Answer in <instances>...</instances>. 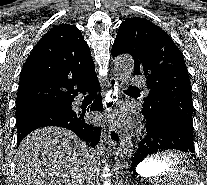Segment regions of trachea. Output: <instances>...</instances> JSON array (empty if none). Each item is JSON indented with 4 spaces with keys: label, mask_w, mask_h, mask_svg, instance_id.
<instances>
[{
    "label": "trachea",
    "mask_w": 207,
    "mask_h": 185,
    "mask_svg": "<svg viewBox=\"0 0 207 185\" xmlns=\"http://www.w3.org/2000/svg\"><path fill=\"white\" fill-rule=\"evenodd\" d=\"M128 90H138L137 87L128 86ZM92 93V92H91ZM93 94V93H92Z\"/></svg>",
    "instance_id": "3493384b"
}]
</instances>
